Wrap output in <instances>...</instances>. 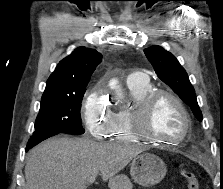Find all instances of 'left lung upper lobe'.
<instances>
[{
	"label": "left lung upper lobe",
	"instance_id": "5c2ea615",
	"mask_svg": "<svg viewBox=\"0 0 223 189\" xmlns=\"http://www.w3.org/2000/svg\"><path fill=\"white\" fill-rule=\"evenodd\" d=\"M157 76L191 107L195 117L202 121V112L198 106L196 93L185 69L178 60L160 46H151L144 50Z\"/></svg>",
	"mask_w": 223,
	"mask_h": 189
}]
</instances>
